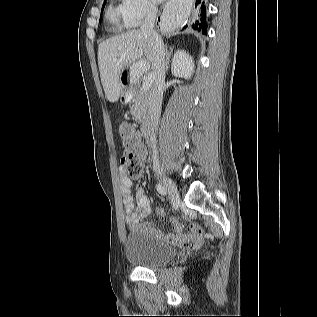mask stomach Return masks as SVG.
<instances>
[{"mask_svg":"<svg viewBox=\"0 0 317 317\" xmlns=\"http://www.w3.org/2000/svg\"><path fill=\"white\" fill-rule=\"evenodd\" d=\"M145 65L144 59H133L132 63L128 65L127 69L119 72V90L120 94H131V87L136 86V83H140L141 78L136 74H146L147 68L141 67ZM122 101H126L125 95L122 97Z\"/></svg>","mask_w":317,"mask_h":317,"instance_id":"1","label":"stomach"}]
</instances>
